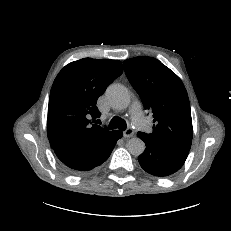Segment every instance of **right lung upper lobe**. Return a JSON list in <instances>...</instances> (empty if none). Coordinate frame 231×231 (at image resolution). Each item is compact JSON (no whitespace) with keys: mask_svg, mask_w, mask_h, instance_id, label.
Here are the masks:
<instances>
[{"mask_svg":"<svg viewBox=\"0 0 231 231\" xmlns=\"http://www.w3.org/2000/svg\"><path fill=\"white\" fill-rule=\"evenodd\" d=\"M119 60L84 58L66 65L55 78L49 98L47 136L52 148L95 142L111 131L95 123L96 102L122 74Z\"/></svg>","mask_w":231,"mask_h":231,"instance_id":"right-lung-upper-lobe-1","label":"right lung upper lobe"}]
</instances>
